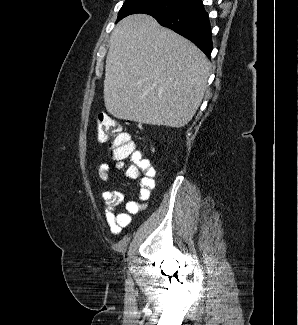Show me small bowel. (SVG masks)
<instances>
[{"label":"small bowel","instance_id":"1","mask_svg":"<svg viewBox=\"0 0 298 325\" xmlns=\"http://www.w3.org/2000/svg\"><path fill=\"white\" fill-rule=\"evenodd\" d=\"M110 173V165L103 163L98 169V175L103 182H107ZM155 169L145 172L139 179L138 200H131L125 203L124 211H118L117 207L123 202V196L118 191L106 190L102 193L104 201V212L110 231L119 235L123 229L132 222V215L145 210L148 206L151 192L156 186Z\"/></svg>","mask_w":298,"mask_h":325}]
</instances>
